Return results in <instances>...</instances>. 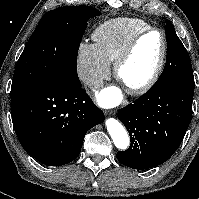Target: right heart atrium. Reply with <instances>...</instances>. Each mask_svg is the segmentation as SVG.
<instances>
[{"label":"right heart atrium","mask_w":199,"mask_h":199,"mask_svg":"<svg viewBox=\"0 0 199 199\" xmlns=\"http://www.w3.org/2000/svg\"><path fill=\"white\" fill-rule=\"evenodd\" d=\"M110 74V63L95 44L82 42L77 50V75L92 90L98 89Z\"/></svg>","instance_id":"obj_1"}]
</instances>
